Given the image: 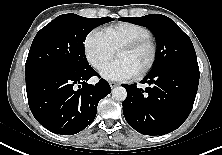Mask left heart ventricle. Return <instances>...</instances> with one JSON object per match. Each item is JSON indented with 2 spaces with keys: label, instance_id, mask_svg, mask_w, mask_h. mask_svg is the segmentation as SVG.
I'll use <instances>...</instances> for the list:
<instances>
[{
  "label": "left heart ventricle",
  "instance_id": "1",
  "mask_svg": "<svg viewBox=\"0 0 222 155\" xmlns=\"http://www.w3.org/2000/svg\"><path fill=\"white\" fill-rule=\"evenodd\" d=\"M151 49L148 45L142 46L134 51H121L116 54L117 59L124 61L136 74L149 61Z\"/></svg>",
  "mask_w": 222,
  "mask_h": 155
}]
</instances>
